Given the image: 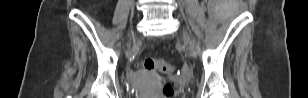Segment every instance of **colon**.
Instances as JSON below:
<instances>
[{
  "label": "colon",
  "mask_w": 308,
  "mask_h": 98,
  "mask_svg": "<svg viewBox=\"0 0 308 98\" xmlns=\"http://www.w3.org/2000/svg\"><path fill=\"white\" fill-rule=\"evenodd\" d=\"M139 66L142 69L150 72H161V73L171 74L174 71L173 66L162 58H146L139 63ZM164 93L167 96L173 94V90L170 84L165 85Z\"/></svg>",
  "instance_id": "1"
}]
</instances>
